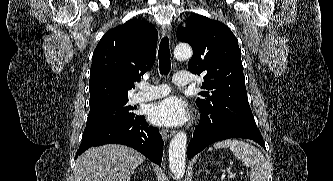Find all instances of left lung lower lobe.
Instances as JSON below:
<instances>
[{
  "label": "left lung lower lobe",
  "instance_id": "left-lung-lower-lobe-1",
  "mask_svg": "<svg viewBox=\"0 0 333 181\" xmlns=\"http://www.w3.org/2000/svg\"><path fill=\"white\" fill-rule=\"evenodd\" d=\"M229 138L251 139L266 149L256 124L227 112L201 110L200 124L196 127L193 139L189 142L187 157L190 159L208 145Z\"/></svg>",
  "mask_w": 333,
  "mask_h": 181
}]
</instances>
